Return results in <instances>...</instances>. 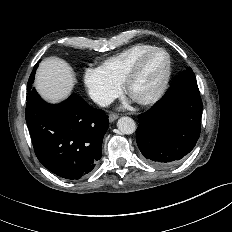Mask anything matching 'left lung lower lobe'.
<instances>
[{
	"label": "left lung lower lobe",
	"mask_w": 232,
	"mask_h": 232,
	"mask_svg": "<svg viewBox=\"0 0 232 232\" xmlns=\"http://www.w3.org/2000/svg\"><path fill=\"white\" fill-rule=\"evenodd\" d=\"M199 90L182 89L172 81L161 100L139 115L137 145L149 163L170 168L184 160L200 135Z\"/></svg>",
	"instance_id": "left-lung-lower-lobe-1"
}]
</instances>
